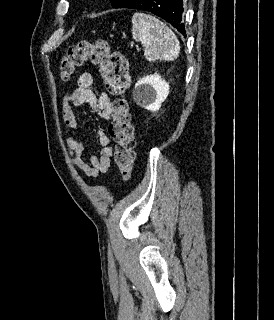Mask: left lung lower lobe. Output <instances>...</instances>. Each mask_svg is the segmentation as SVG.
<instances>
[{
  "label": "left lung lower lobe",
  "instance_id": "obj_1",
  "mask_svg": "<svg viewBox=\"0 0 274 320\" xmlns=\"http://www.w3.org/2000/svg\"><path fill=\"white\" fill-rule=\"evenodd\" d=\"M123 8L139 9L153 14L171 23L179 32L185 34L182 23V0H130Z\"/></svg>",
  "mask_w": 274,
  "mask_h": 320
}]
</instances>
